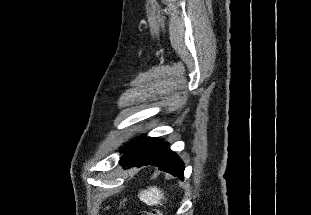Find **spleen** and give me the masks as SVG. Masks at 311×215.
I'll use <instances>...</instances> for the list:
<instances>
[{
	"label": "spleen",
	"mask_w": 311,
	"mask_h": 215,
	"mask_svg": "<svg viewBox=\"0 0 311 215\" xmlns=\"http://www.w3.org/2000/svg\"><path fill=\"white\" fill-rule=\"evenodd\" d=\"M138 197L147 205H162L161 200H164V193L156 186H153L149 187L148 190L141 191Z\"/></svg>",
	"instance_id": "obj_1"
}]
</instances>
